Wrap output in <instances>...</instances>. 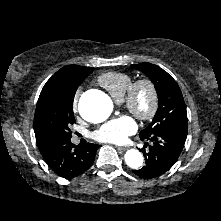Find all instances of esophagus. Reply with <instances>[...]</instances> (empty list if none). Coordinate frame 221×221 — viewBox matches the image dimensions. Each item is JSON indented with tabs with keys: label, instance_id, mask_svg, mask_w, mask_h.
Here are the masks:
<instances>
[{
	"label": "esophagus",
	"instance_id": "obj_1",
	"mask_svg": "<svg viewBox=\"0 0 221 221\" xmlns=\"http://www.w3.org/2000/svg\"><path fill=\"white\" fill-rule=\"evenodd\" d=\"M118 150H121V151H125L126 148L125 147H117Z\"/></svg>",
	"mask_w": 221,
	"mask_h": 221
}]
</instances>
